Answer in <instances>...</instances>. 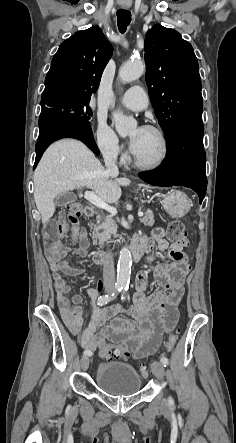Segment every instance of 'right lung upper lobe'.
I'll return each mask as SVG.
<instances>
[{"instance_id":"cb5924a9","label":"right lung upper lobe","mask_w":236,"mask_h":443,"mask_svg":"<svg viewBox=\"0 0 236 443\" xmlns=\"http://www.w3.org/2000/svg\"><path fill=\"white\" fill-rule=\"evenodd\" d=\"M113 47L98 26L78 31L62 42L45 79L41 102L61 94L91 98Z\"/></svg>"}]
</instances>
